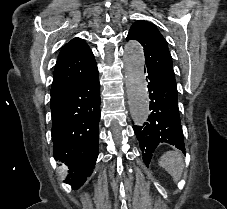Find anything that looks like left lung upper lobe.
I'll list each match as a JSON object with an SVG mask.
<instances>
[{
    "instance_id": "1",
    "label": "left lung upper lobe",
    "mask_w": 227,
    "mask_h": 209,
    "mask_svg": "<svg viewBox=\"0 0 227 209\" xmlns=\"http://www.w3.org/2000/svg\"><path fill=\"white\" fill-rule=\"evenodd\" d=\"M126 39L137 40L143 46L147 73L157 74L165 83L177 89L167 42L154 24L144 20L136 21Z\"/></svg>"
}]
</instances>
